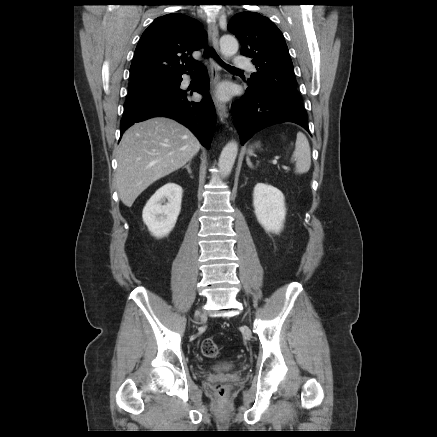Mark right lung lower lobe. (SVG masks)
Masks as SVG:
<instances>
[{
  "label": "right lung lower lobe",
  "instance_id": "98d812e1",
  "mask_svg": "<svg viewBox=\"0 0 437 437\" xmlns=\"http://www.w3.org/2000/svg\"><path fill=\"white\" fill-rule=\"evenodd\" d=\"M187 73L192 74V71ZM181 81L182 75L177 77L168 89L128 98L124 103L121 135L135 122L164 116L188 127L201 144L209 149L216 124L215 107L208 94L209 76L205 71L194 89L204 96L200 102L189 99V93L180 89Z\"/></svg>",
  "mask_w": 437,
  "mask_h": 437
}]
</instances>
